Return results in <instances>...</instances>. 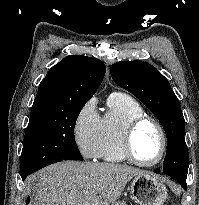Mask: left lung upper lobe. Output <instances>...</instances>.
Returning a JSON list of instances; mask_svg holds the SVG:
<instances>
[{
  "instance_id": "obj_1",
  "label": "left lung upper lobe",
  "mask_w": 199,
  "mask_h": 205,
  "mask_svg": "<svg viewBox=\"0 0 199 205\" xmlns=\"http://www.w3.org/2000/svg\"><path fill=\"white\" fill-rule=\"evenodd\" d=\"M117 85L131 92L158 118L167 137L161 171L176 180L187 178L189 154L185 143V120L180 102L168 80L149 63L121 61L110 66ZM160 173V168L155 170Z\"/></svg>"
}]
</instances>
